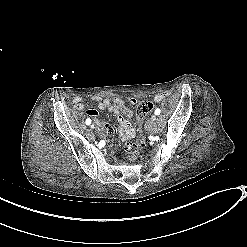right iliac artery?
I'll return each mask as SVG.
<instances>
[{
    "label": "right iliac artery",
    "mask_w": 247,
    "mask_h": 247,
    "mask_svg": "<svg viewBox=\"0 0 247 247\" xmlns=\"http://www.w3.org/2000/svg\"><path fill=\"white\" fill-rule=\"evenodd\" d=\"M86 124H87V125H90V124H91L90 118H87V119H86Z\"/></svg>",
    "instance_id": "82829eb1"
}]
</instances>
